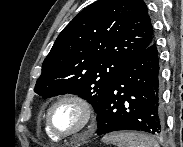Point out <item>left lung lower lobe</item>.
Instances as JSON below:
<instances>
[{
    "label": "left lung lower lobe",
    "instance_id": "0a47b994",
    "mask_svg": "<svg viewBox=\"0 0 183 147\" xmlns=\"http://www.w3.org/2000/svg\"><path fill=\"white\" fill-rule=\"evenodd\" d=\"M159 71L152 42L120 71L105 93L96 111L98 135L119 130L163 132Z\"/></svg>",
    "mask_w": 183,
    "mask_h": 147
}]
</instances>
